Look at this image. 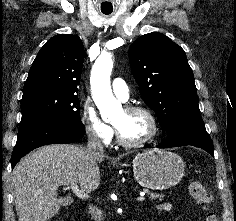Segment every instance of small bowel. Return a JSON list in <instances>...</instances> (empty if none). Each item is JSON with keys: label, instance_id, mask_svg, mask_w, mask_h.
Wrapping results in <instances>:
<instances>
[{"label": "small bowel", "instance_id": "small-bowel-1", "mask_svg": "<svg viewBox=\"0 0 236 221\" xmlns=\"http://www.w3.org/2000/svg\"><path fill=\"white\" fill-rule=\"evenodd\" d=\"M158 210L164 211V212H169L171 211V205L168 203H163L157 207Z\"/></svg>", "mask_w": 236, "mask_h": 221}]
</instances>
